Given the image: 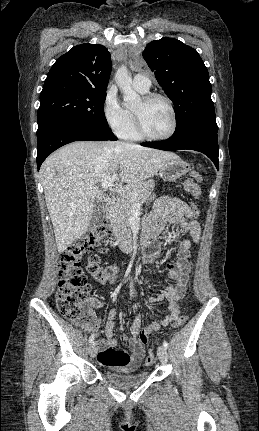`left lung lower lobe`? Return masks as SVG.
<instances>
[{
    "instance_id": "left-lung-lower-lobe-1",
    "label": "left lung lower lobe",
    "mask_w": 259,
    "mask_h": 431,
    "mask_svg": "<svg viewBox=\"0 0 259 431\" xmlns=\"http://www.w3.org/2000/svg\"><path fill=\"white\" fill-rule=\"evenodd\" d=\"M218 127L208 125H190L175 132L169 139L144 143L143 146L166 150L190 149L204 153L219 168Z\"/></svg>"
}]
</instances>
